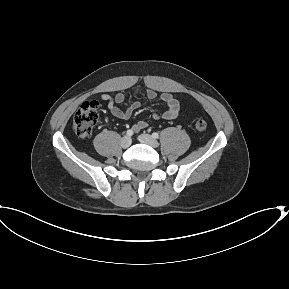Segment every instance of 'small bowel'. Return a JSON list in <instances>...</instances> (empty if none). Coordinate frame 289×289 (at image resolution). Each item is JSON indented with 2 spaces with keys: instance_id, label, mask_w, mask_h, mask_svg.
<instances>
[{
  "instance_id": "small-bowel-1",
  "label": "small bowel",
  "mask_w": 289,
  "mask_h": 289,
  "mask_svg": "<svg viewBox=\"0 0 289 289\" xmlns=\"http://www.w3.org/2000/svg\"><path fill=\"white\" fill-rule=\"evenodd\" d=\"M141 92L137 91L136 95H139ZM144 95L148 99H155L157 97V93L154 90L148 89L144 92ZM162 101L166 104L167 109L162 114L159 115L157 113L154 114L156 119L163 118L166 120H173L176 119L180 115V103L179 101L168 92H164L161 94ZM101 100L107 103L108 110L110 113L119 119H128L132 113L140 107V102L135 101L126 109H121L118 107L119 104H122L125 100V96L123 93H117L115 96H111L109 94H102ZM147 123L145 121H140L133 126V130L135 132L140 131L147 127Z\"/></svg>"
}]
</instances>
